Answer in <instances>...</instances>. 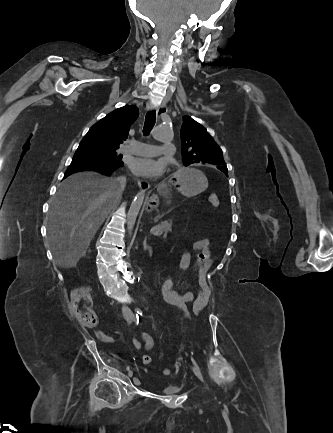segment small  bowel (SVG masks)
<instances>
[{"instance_id": "1", "label": "small bowel", "mask_w": 333, "mask_h": 433, "mask_svg": "<svg viewBox=\"0 0 333 433\" xmlns=\"http://www.w3.org/2000/svg\"><path fill=\"white\" fill-rule=\"evenodd\" d=\"M194 250L196 252L194 265L198 272V288L196 290H188L184 293H180L175 289L174 281L172 278L171 280L173 281V292L178 293V297L182 298V300L187 301V303H192L194 313L200 314L207 306L211 297V287L206 278V273L213 265V259L211 255V243L208 239L198 240L194 244ZM190 264L191 256L189 252H182L179 261V269L181 271H185L189 268ZM95 335L101 342L107 344H113L115 342L111 336L105 334L102 330L98 328L95 329ZM132 345L133 348L136 350H140L141 348H143L146 351H150L154 347V338L149 333H140L133 339Z\"/></svg>"}]
</instances>
